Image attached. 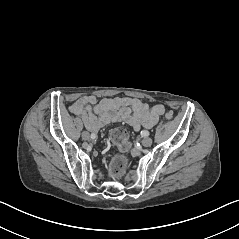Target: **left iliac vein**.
Wrapping results in <instances>:
<instances>
[{
    "label": "left iliac vein",
    "instance_id": "1",
    "mask_svg": "<svg viewBox=\"0 0 239 239\" xmlns=\"http://www.w3.org/2000/svg\"><path fill=\"white\" fill-rule=\"evenodd\" d=\"M151 144H152V139L150 137L143 138L142 145L144 147H149V146H151Z\"/></svg>",
    "mask_w": 239,
    "mask_h": 239
}]
</instances>
